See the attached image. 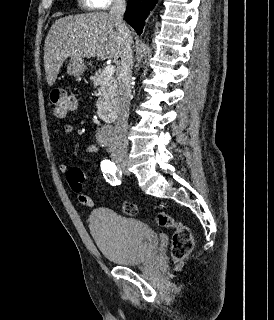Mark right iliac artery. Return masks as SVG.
<instances>
[{"label":"right iliac artery","instance_id":"82829eb1","mask_svg":"<svg viewBox=\"0 0 274 320\" xmlns=\"http://www.w3.org/2000/svg\"><path fill=\"white\" fill-rule=\"evenodd\" d=\"M101 169L107 176V181L110 182L111 185H119L121 183V170L117 168V166L109 161L104 160L101 162Z\"/></svg>","mask_w":274,"mask_h":320}]
</instances>
